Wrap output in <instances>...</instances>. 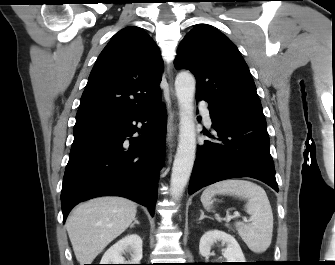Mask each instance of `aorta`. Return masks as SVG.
<instances>
[{
    "mask_svg": "<svg viewBox=\"0 0 335 265\" xmlns=\"http://www.w3.org/2000/svg\"><path fill=\"white\" fill-rule=\"evenodd\" d=\"M179 105L180 127L177 152L171 174V194L178 201L190 178L195 161L196 132L194 121L195 78L189 72H180L175 80Z\"/></svg>",
    "mask_w": 335,
    "mask_h": 265,
    "instance_id": "762f6f07",
    "label": "aorta"
}]
</instances>
